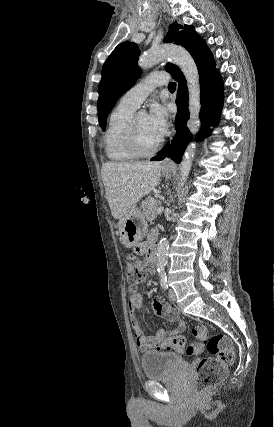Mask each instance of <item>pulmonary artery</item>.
Returning <instances> with one entry per match:
<instances>
[{
	"label": "pulmonary artery",
	"mask_w": 274,
	"mask_h": 427,
	"mask_svg": "<svg viewBox=\"0 0 274 427\" xmlns=\"http://www.w3.org/2000/svg\"><path fill=\"white\" fill-rule=\"evenodd\" d=\"M166 81V78L159 77L158 72H153L128 90L119 104L136 110L158 86L164 85Z\"/></svg>",
	"instance_id": "e3ab8cb5"
}]
</instances>
